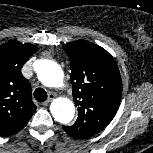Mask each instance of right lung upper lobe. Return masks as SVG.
I'll return each mask as SVG.
<instances>
[{
	"label": "right lung upper lobe",
	"instance_id": "right-lung-upper-lobe-1",
	"mask_svg": "<svg viewBox=\"0 0 153 153\" xmlns=\"http://www.w3.org/2000/svg\"><path fill=\"white\" fill-rule=\"evenodd\" d=\"M37 50L15 40L0 45V136L22 130L36 110L31 85L21 68Z\"/></svg>",
	"mask_w": 153,
	"mask_h": 153
}]
</instances>
